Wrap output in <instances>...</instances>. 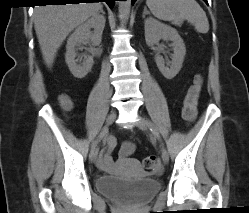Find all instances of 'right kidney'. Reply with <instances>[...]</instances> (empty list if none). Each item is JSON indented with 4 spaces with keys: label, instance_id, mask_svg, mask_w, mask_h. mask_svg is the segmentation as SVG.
<instances>
[{
    "label": "right kidney",
    "instance_id": "obj_1",
    "mask_svg": "<svg viewBox=\"0 0 249 213\" xmlns=\"http://www.w3.org/2000/svg\"><path fill=\"white\" fill-rule=\"evenodd\" d=\"M105 21L104 16L99 14L93 15L87 21L80 24L68 38L65 60L74 77L82 79L91 71L94 63L93 57L90 55L85 56L83 63L78 64V60L76 59L77 47L87 43L89 40L94 45H99ZM91 29H94L93 32Z\"/></svg>",
    "mask_w": 249,
    "mask_h": 213
}]
</instances>
